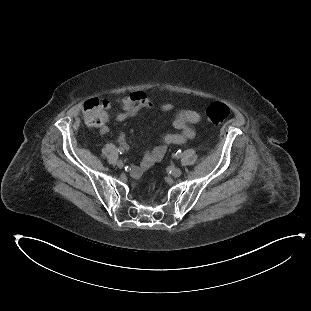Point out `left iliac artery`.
Masks as SVG:
<instances>
[{
  "label": "left iliac artery",
  "instance_id": "obj_1",
  "mask_svg": "<svg viewBox=\"0 0 311 311\" xmlns=\"http://www.w3.org/2000/svg\"><path fill=\"white\" fill-rule=\"evenodd\" d=\"M181 155H182L181 150H178V151L176 152V154H175V156H176L177 158H180Z\"/></svg>",
  "mask_w": 311,
  "mask_h": 311
}]
</instances>
